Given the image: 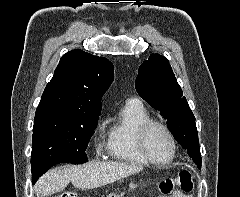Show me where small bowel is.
<instances>
[{
    "instance_id": "1",
    "label": "small bowel",
    "mask_w": 240,
    "mask_h": 197,
    "mask_svg": "<svg viewBox=\"0 0 240 197\" xmlns=\"http://www.w3.org/2000/svg\"><path fill=\"white\" fill-rule=\"evenodd\" d=\"M169 197H193L192 195L190 194H182L180 192H174L173 194H171V196Z\"/></svg>"
}]
</instances>
